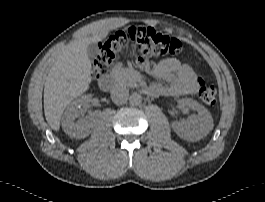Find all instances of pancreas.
Here are the masks:
<instances>
[{"label":"pancreas","mask_w":265,"mask_h":202,"mask_svg":"<svg viewBox=\"0 0 265 202\" xmlns=\"http://www.w3.org/2000/svg\"><path fill=\"white\" fill-rule=\"evenodd\" d=\"M112 74L116 81L124 86L134 87L137 85V72L132 68H126L121 63L117 64Z\"/></svg>","instance_id":"1"}]
</instances>
